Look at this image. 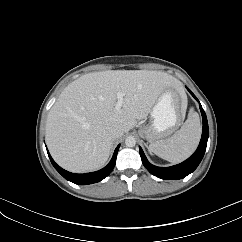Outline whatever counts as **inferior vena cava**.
<instances>
[{"instance_id": "602c4592", "label": "inferior vena cava", "mask_w": 242, "mask_h": 242, "mask_svg": "<svg viewBox=\"0 0 242 242\" xmlns=\"http://www.w3.org/2000/svg\"><path fill=\"white\" fill-rule=\"evenodd\" d=\"M124 131L120 126H114L110 129V134L113 139L119 138L123 135Z\"/></svg>"}]
</instances>
